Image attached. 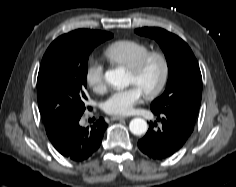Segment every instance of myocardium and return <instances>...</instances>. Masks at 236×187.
Segmentation results:
<instances>
[{
	"label": "myocardium",
	"mask_w": 236,
	"mask_h": 187,
	"mask_svg": "<svg viewBox=\"0 0 236 187\" xmlns=\"http://www.w3.org/2000/svg\"><path fill=\"white\" fill-rule=\"evenodd\" d=\"M157 60L161 65V77L158 84L151 90L144 92L146 98H155L159 96L166 88L169 77H170V63L167 56L159 51H149L148 53L141 56L128 70L135 77L140 76L147 64L152 61Z\"/></svg>",
	"instance_id": "1"
}]
</instances>
